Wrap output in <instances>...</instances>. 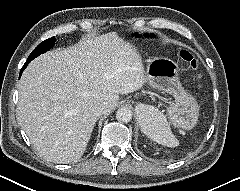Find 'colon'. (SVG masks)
<instances>
[{"label": "colon", "mask_w": 240, "mask_h": 191, "mask_svg": "<svg viewBox=\"0 0 240 191\" xmlns=\"http://www.w3.org/2000/svg\"><path fill=\"white\" fill-rule=\"evenodd\" d=\"M181 59L186 62L192 69L198 70L199 69V62L194 57V55L188 50H181L180 52Z\"/></svg>", "instance_id": "colon-1"}]
</instances>
